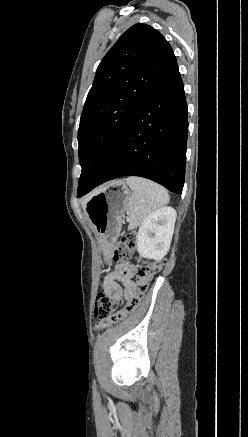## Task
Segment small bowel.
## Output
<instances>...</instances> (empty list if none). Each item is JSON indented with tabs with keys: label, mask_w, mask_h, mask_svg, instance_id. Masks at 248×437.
Wrapping results in <instances>:
<instances>
[{
	"label": "small bowel",
	"mask_w": 248,
	"mask_h": 437,
	"mask_svg": "<svg viewBox=\"0 0 248 437\" xmlns=\"http://www.w3.org/2000/svg\"><path fill=\"white\" fill-rule=\"evenodd\" d=\"M134 273L135 267L133 265L116 266L104 279V291L113 297L129 300L135 293V284L132 281ZM120 283L124 285V289Z\"/></svg>",
	"instance_id": "c3829d8e"
}]
</instances>
